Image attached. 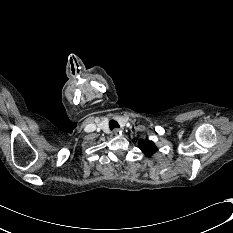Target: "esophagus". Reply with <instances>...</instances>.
Masks as SVG:
<instances>
[{
	"instance_id": "esophagus-1",
	"label": "esophagus",
	"mask_w": 233,
	"mask_h": 233,
	"mask_svg": "<svg viewBox=\"0 0 233 233\" xmlns=\"http://www.w3.org/2000/svg\"><path fill=\"white\" fill-rule=\"evenodd\" d=\"M114 134H115V136L119 137L122 135V131L120 129H115Z\"/></svg>"
}]
</instances>
